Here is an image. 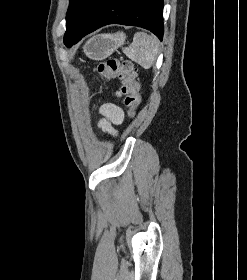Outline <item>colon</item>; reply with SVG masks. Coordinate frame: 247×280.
I'll list each match as a JSON object with an SVG mask.
<instances>
[{"label": "colon", "instance_id": "1", "mask_svg": "<svg viewBox=\"0 0 247 280\" xmlns=\"http://www.w3.org/2000/svg\"><path fill=\"white\" fill-rule=\"evenodd\" d=\"M97 72L104 79L117 78L122 82L124 104L128 108V115L134 117L141 104V84L133 64L110 58L98 66Z\"/></svg>", "mask_w": 247, "mask_h": 280}]
</instances>
